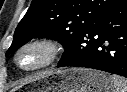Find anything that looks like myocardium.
Returning <instances> with one entry per match:
<instances>
[{"label": "myocardium", "instance_id": "1", "mask_svg": "<svg viewBox=\"0 0 127 92\" xmlns=\"http://www.w3.org/2000/svg\"><path fill=\"white\" fill-rule=\"evenodd\" d=\"M30 49H40L44 53V58L38 64L32 67H23L19 61L22 53ZM64 50L63 44L51 37H39L28 40L22 44L15 53L14 62L16 66L25 72H34L46 68L53 64L62 55Z\"/></svg>", "mask_w": 127, "mask_h": 92}]
</instances>
